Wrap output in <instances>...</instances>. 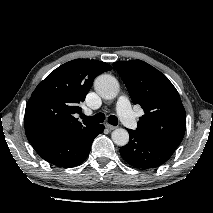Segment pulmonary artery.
<instances>
[{
    "label": "pulmonary artery",
    "instance_id": "obj_1",
    "mask_svg": "<svg viewBox=\"0 0 213 213\" xmlns=\"http://www.w3.org/2000/svg\"><path fill=\"white\" fill-rule=\"evenodd\" d=\"M117 112L126 127L130 129H135L137 127V121L131 111L127 97L121 96L118 99Z\"/></svg>",
    "mask_w": 213,
    "mask_h": 213
}]
</instances>
